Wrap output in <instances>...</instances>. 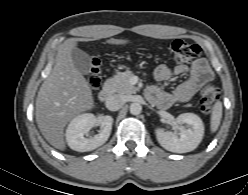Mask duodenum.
<instances>
[{"label": "duodenum", "instance_id": "410a0bca", "mask_svg": "<svg viewBox=\"0 0 248 195\" xmlns=\"http://www.w3.org/2000/svg\"><path fill=\"white\" fill-rule=\"evenodd\" d=\"M112 94H113L112 85L110 83H107L99 91L98 97L101 102H107L111 99Z\"/></svg>", "mask_w": 248, "mask_h": 195}]
</instances>
